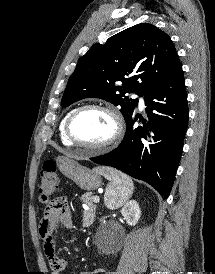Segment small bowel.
<instances>
[{"label": "small bowel", "instance_id": "small-bowel-1", "mask_svg": "<svg viewBox=\"0 0 215 274\" xmlns=\"http://www.w3.org/2000/svg\"><path fill=\"white\" fill-rule=\"evenodd\" d=\"M58 225H62L67 229L75 228L67 200L62 197L56 198L48 204L39 226V233L44 242V252L49 261L52 274H61L68 266V262L56 253L54 234ZM102 272H104L103 269H96L80 274H99Z\"/></svg>", "mask_w": 215, "mask_h": 274}]
</instances>
